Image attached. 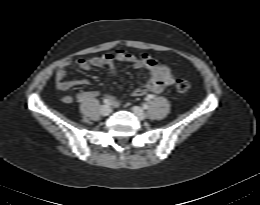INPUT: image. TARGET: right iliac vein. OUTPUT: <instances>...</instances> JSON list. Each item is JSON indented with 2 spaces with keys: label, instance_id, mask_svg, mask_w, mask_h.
Masks as SVG:
<instances>
[{
  "label": "right iliac vein",
  "instance_id": "right-iliac-vein-1",
  "mask_svg": "<svg viewBox=\"0 0 260 205\" xmlns=\"http://www.w3.org/2000/svg\"><path fill=\"white\" fill-rule=\"evenodd\" d=\"M100 112L103 116H108L111 113V107L109 105H103Z\"/></svg>",
  "mask_w": 260,
  "mask_h": 205
}]
</instances>
